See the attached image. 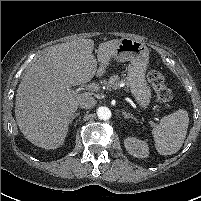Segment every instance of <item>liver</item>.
Returning <instances> with one entry per match:
<instances>
[{
	"label": "liver",
	"instance_id": "obj_1",
	"mask_svg": "<svg viewBox=\"0 0 201 201\" xmlns=\"http://www.w3.org/2000/svg\"><path fill=\"white\" fill-rule=\"evenodd\" d=\"M119 42L101 43L97 59L91 39L63 43L30 67L17 89L15 116L31 143L55 149L64 142L79 99L91 96L89 92L79 94L68 89L89 82L95 74L103 76Z\"/></svg>",
	"mask_w": 201,
	"mask_h": 201
}]
</instances>
